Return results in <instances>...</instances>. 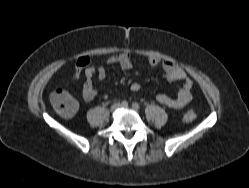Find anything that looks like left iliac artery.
<instances>
[{
    "instance_id": "obj_1",
    "label": "left iliac artery",
    "mask_w": 249,
    "mask_h": 188,
    "mask_svg": "<svg viewBox=\"0 0 249 188\" xmlns=\"http://www.w3.org/2000/svg\"><path fill=\"white\" fill-rule=\"evenodd\" d=\"M132 107H133L134 109H136V110H138V109L140 108L139 104L136 103V102L132 103Z\"/></svg>"
}]
</instances>
